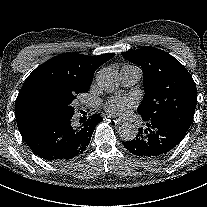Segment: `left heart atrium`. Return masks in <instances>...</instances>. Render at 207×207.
<instances>
[{"mask_svg":"<svg viewBox=\"0 0 207 207\" xmlns=\"http://www.w3.org/2000/svg\"><path fill=\"white\" fill-rule=\"evenodd\" d=\"M134 107H136L134 100L121 96L113 97L104 104V108L108 114L120 118L128 117Z\"/></svg>","mask_w":207,"mask_h":207,"instance_id":"left-heart-atrium-1","label":"left heart atrium"}]
</instances>
